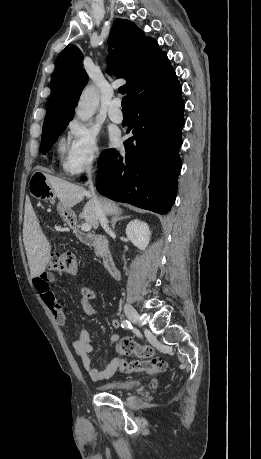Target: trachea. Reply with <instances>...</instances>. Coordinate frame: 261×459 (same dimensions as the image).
I'll return each mask as SVG.
<instances>
[{
  "label": "trachea",
  "mask_w": 261,
  "mask_h": 459,
  "mask_svg": "<svg viewBox=\"0 0 261 459\" xmlns=\"http://www.w3.org/2000/svg\"><path fill=\"white\" fill-rule=\"evenodd\" d=\"M122 110L124 111H130V106H129V96H125L122 99Z\"/></svg>",
  "instance_id": "3493384b"
}]
</instances>
